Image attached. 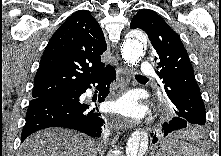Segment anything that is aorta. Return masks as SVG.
Instances as JSON below:
<instances>
[{"mask_svg": "<svg viewBox=\"0 0 221 156\" xmlns=\"http://www.w3.org/2000/svg\"><path fill=\"white\" fill-rule=\"evenodd\" d=\"M146 36L141 31H131L122 44L121 54L126 64L136 65L144 53ZM148 148V137L140 130L134 131L126 144V156H143Z\"/></svg>", "mask_w": 221, "mask_h": 156, "instance_id": "762f6f07", "label": "aorta"}]
</instances>
